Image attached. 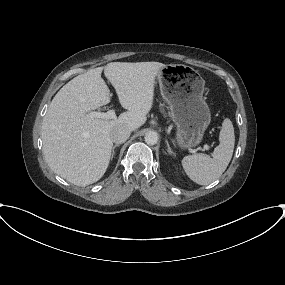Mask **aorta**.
<instances>
[{"instance_id":"aorta-1","label":"aorta","mask_w":285,"mask_h":285,"mask_svg":"<svg viewBox=\"0 0 285 285\" xmlns=\"http://www.w3.org/2000/svg\"><path fill=\"white\" fill-rule=\"evenodd\" d=\"M144 139L148 145H155L158 141V135L157 133L150 131L146 133Z\"/></svg>"}]
</instances>
